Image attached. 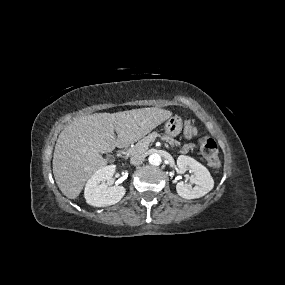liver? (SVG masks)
Masks as SVG:
<instances>
[{"label":"liver","instance_id":"6515ba94","mask_svg":"<svg viewBox=\"0 0 285 285\" xmlns=\"http://www.w3.org/2000/svg\"><path fill=\"white\" fill-rule=\"evenodd\" d=\"M171 115L169 110L149 107L74 119L59 134L53 155V174L61 192L77 198L86 181L107 165L101 153L136 142Z\"/></svg>","mask_w":285,"mask_h":285}]
</instances>
